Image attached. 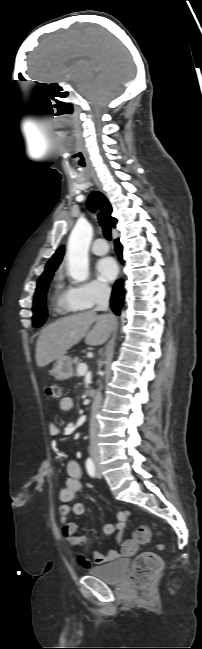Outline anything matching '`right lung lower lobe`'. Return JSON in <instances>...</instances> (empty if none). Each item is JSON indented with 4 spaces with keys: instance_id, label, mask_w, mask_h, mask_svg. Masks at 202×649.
Instances as JSON below:
<instances>
[{
    "instance_id": "obj_1",
    "label": "right lung lower lobe",
    "mask_w": 202,
    "mask_h": 649,
    "mask_svg": "<svg viewBox=\"0 0 202 649\" xmlns=\"http://www.w3.org/2000/svg\"><path fill=\"white\" fill-rule=\"evenodd\" d=\"M115 250L120 260L122 261V247L118 239L115 240ZM123 301H124L123 281L118 280L116 281L113 287L112 295L110 298V306L116 315H120V310L122 308Z\"/></svg>"
}]
</instances>
